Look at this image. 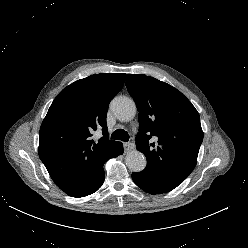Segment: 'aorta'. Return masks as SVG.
<instances>
[{"instance_id":"1","label":"aorta","mask_w":248,"mask_h":248,"mask_svg":"<svg viewBox=\"0 0 248 248\" xmlns=\"http://www.w3.org/2000/svg\"><path fill=\"white\" fill-rule=\"evenodd\" d=\"M111 109L115 117L123 122L131 121L137 112L133 99L120 96L111 102ZM127 167L132 172H140L145 169L147 161L143 153L138 150H132L125 157Z\"/></svg>"}]
</instances>
